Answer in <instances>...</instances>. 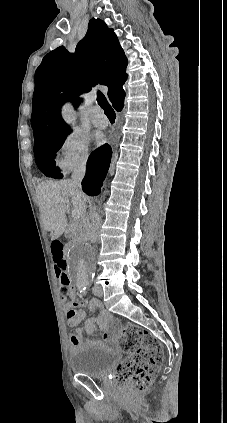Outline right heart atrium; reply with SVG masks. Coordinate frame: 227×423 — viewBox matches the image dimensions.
I'll use <instances>...</instances> for the list:
<instances>
[{
	"instance_id": "right-heart-atrium-1",
	"label": "right heart atrium",
	"mask_w": 227,
	"mask_h": 423,
	"mask_svg": "<svg viewBox=\"0 0 227 423\" xmlns=\"http://www.w3.org/2000/svg\"><path fill=\"white\" fill-rule=\"evenodd\" d=\"M90 156L88 138L73 131L62 138L56 153L55 164L63 173H70L85 168Z\"/></svg>"
}]
</instances>
